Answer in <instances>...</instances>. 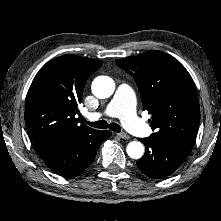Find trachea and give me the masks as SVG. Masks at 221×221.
Returning a JSON list of instances; mask_svg holds the SVG:
<instances>
[{"instance_id":"3493384b","label":"trachea","mask_w":221,"mask_h":221,"mask_svg":"<svg viewBox=\"0 0 221 221\" xmlns=\"http://www.w3.org/2000/svg\"><path fill=\"white\" fill-rule=\"evenodd\" d=\"M83 120L89 126L94 127V128H99V129L109 128L110 130H112L114 132H117V133L121 132V127L116 123L108 124L107 121H105V120H100V121H96V122H89L85 119H83Z\"/></svg>"}]
</instances>
